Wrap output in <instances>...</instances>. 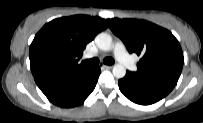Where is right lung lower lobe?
Instances as JSON below:
<instances>
[{"instance_id":"1","label":"right lung lower lobe","mask_w":203,"mask_h":123,"mask_svg":"<svg viewBox=\"0 0 203 123\" xmlns=\"http://www.w3.org/2000/svg\"><path fill=\"white\" fill-rule=\"evenodd\" d=\"M100 67L50 70L34 75L38 87L53 104L75 107L85 101L94 90Z\"/></svg>"}]
</instances>
